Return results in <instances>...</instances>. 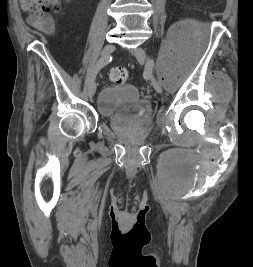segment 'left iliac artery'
<instances>
[{"label": "left iliac artery", "mask_w": 253, "mask_h": 267, "mask_svg": "<svg viewBox=\"0 0 253 267\" xmlns=\"http://www.w3.org/2000/svg\"><path fill=\"white\" fill-rule=\"evenodd\" d=\"M150 61H151V62H152V64L154 65V62H153V60H151V59H150Z\"/></svg>", "instance_id": "1"}]
</instances>
